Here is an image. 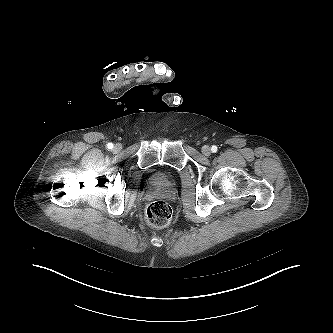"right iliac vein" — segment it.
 <instances>
[{
    "label": "right iliac vein",
    "mask_w": 333,
    "mask_h": 333,
    "mask_svg": "<svg viewBox=\"0 0 333 333\" xmlns=\"http://www.w3.org/2000/svg\"><path fill=\"white\" fill-rule=\"evenodd\" d=\"M121 150V145L120 144H116L115 146H114V151L115 152H118V151H120Z\"/></svg>",
    "instance_id": "63e3f726"
}]
</instances>
